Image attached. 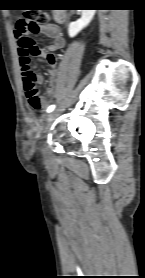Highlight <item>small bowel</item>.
<instances>
[{
  "instance_id": "obj_1",
  "label": "small bowel",
  "mask_w": 145,
  "mask_h": 278,
  "mask_svg": "<svg viewBox=\"0 0 145 278\" xmlns=\"http://www.w3.org/2000/svg\"><path fill=\"white\" fill-rule=\"evenodd\" d=\"M43 33L47 37H49L53 40L52 43H50L45 50H41L42 57L46 60V62L48 63V65L50 67V69H49V86L46 89V93H47L49 90H52L54 88V85L56 84V81H57V60H56V58L53 61L47 60L46 52L47 51L55 52L56 50L63 48L65 45V40H64L60 27L57 25H53V26H50V27L44 29ZM31 34L32 33L29 30L22 31L21 33H15V38H16V42L18 45V49H20V47L22 46V42L24 39L31 38ZM29 60H30L29 55H27L25 53L20 54V68H21L22 79H23V75H24V68L28 64ZM30 70L32 71L31 65H30ZM37 78H38L39 82H42L41 76H37Z\"/></svg>"
}]
</instances>
